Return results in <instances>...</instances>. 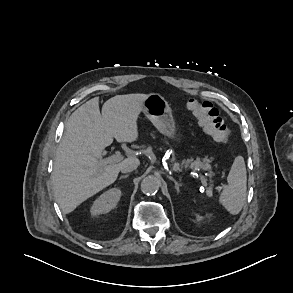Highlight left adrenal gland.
<instances>
[{"label":"left adrenal gland","instance_id":"1","mask_svg":"<svg viewBox=\"0 0 293 293\" xmlns=\"http://www.w3.org/2000/svg\"><path fill=\"white\" fill-rule=\"evenodd\" d=\"M169 179L172 180V181L174 182V184H175V189H176L177 193L179 194L181 184H179V183H178L174 178H172V177H169Z\"/></svg>","mask_w":293,"mask_h":293}]
</instances>
